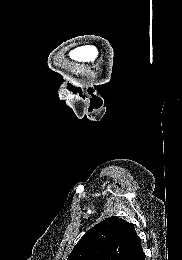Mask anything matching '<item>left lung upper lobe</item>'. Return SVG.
Listing matches in <instances>:
<instances>
[{
  "instance_id": "5c2ea615",
  "label": "left lung upper lobe",
  "mask_w": 182,
  "mask_h": 260,
  "mask_svg": "<svg viewBox=\"0 0 182 260\" xmlns=\"http://www.w3.org/2000/svg\"><path fill=\"white\" fill-rule=\"evenodd\" d=\"M137 239L133 224L109 217L84 234L67 260H122Z\"/></svg>"
}]
</instances>
